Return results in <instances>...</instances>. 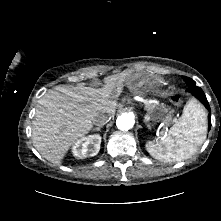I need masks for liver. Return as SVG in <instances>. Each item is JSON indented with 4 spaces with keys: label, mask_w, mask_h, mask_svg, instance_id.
<instances>
[{
    "label": "liver",
    "mask_w": 221,
    "mask_h": 221,
    "mask_svg": "<svg viewBox=\"0 0 221 221\" xmlns=\"http://www.w3.org/2000/svg\"><path fill=\"white\" fill-rule=\"evenodd\" d=\"M124 74L108 76L102 88L56 86L38 101L32 126L34 147L46 160L61 164L67 151L93 127L100 114L113 117Z\"/></svg>",
    "instance_id": "obj_1"
}]
</instances>
